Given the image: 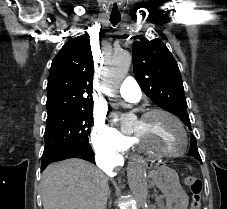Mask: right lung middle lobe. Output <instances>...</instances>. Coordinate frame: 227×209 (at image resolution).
I'll use <instances>...</instances> for the list:
<instances>
[{"label":"right lung middle lobe","instance_id":"right-lung-middle-lobe-1","mask_svg":"<svg viewBox=\"0 0 227 209\" xmlns=\"http://www.w3.org/2000/svg\"><path fill=\"white\" fill-rule=\"evenodd\" d=\"M48 117L44 133L46 154L68 147L89 145L93 120L92 98H63L47 107Z\"/></svg>","mask_w":227,"mask_h":209}]
</instances>
